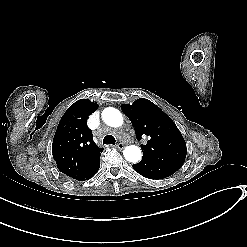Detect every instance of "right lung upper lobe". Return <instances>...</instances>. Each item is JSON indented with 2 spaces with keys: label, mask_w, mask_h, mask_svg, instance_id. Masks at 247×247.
Masks as SVG:
<instances>
[{
  "label": "right lung upper lobe",
  "mask_w": 247,
  "mask_h": 247,
  "mask_svg": "<svg viewBox=\"0 0 247 247\" xmlns=\"http://www.w3.org/2000/svg\"><path fill=\"white\" fill-rule=\"evenodd\" d=\"M98 104L81 99L72 104L62 116L52 144L57 168L76 179L87 172L100 158L104 148L98 147L87 126V119Z\"/></svg>",
  "instance_id": "cb5924a9"
}]
</instances>
